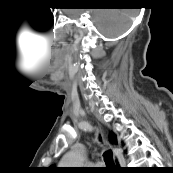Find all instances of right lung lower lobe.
<instances>
[{
  "instance_id": "1",
  "label": "right lung lower lobe",
  "mask_w": 173,
  "mask_h": 173,
  "mask_svg": "<svg viewBox=\"0 0 173 173\" xmlns=\"http://www.w3.org/2000/svg\"><path fill=\"white\" fill-rule=\"evenodd\" d=\"M118 173H135L137 171L135 170H131V169H127V168H121L117 171Z\"/></svg>"
}]
</instances>
